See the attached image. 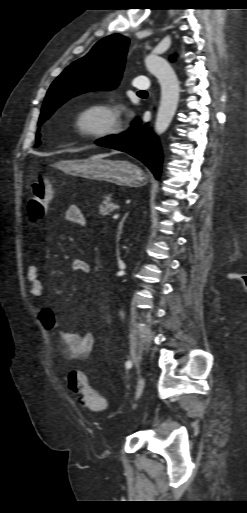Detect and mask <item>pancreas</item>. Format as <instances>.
Masks as SVG:
<instances>
[{"label": "pancreas", "mask_w": 247, "mask_h": 513, "mask_svg": "<svg viewBox=\"0 0 247 513\" xmlns=\"http://www.w3.org/2000/svg\"><path fill=\"white\" fill-rule=\"evenodd\" d=\"M118 208L119 206L112 202V198L110 196H106L102 204L99 206V214L102 216H111Z\"/></svg>", "instance_id": "obj_1"}]
</instances>
